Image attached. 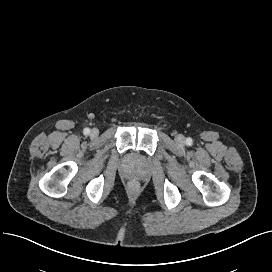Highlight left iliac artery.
<instances>
[{"label": "left iliac artery", "mask_w": 272, "mask_h": 272, "mask_svg": "<svg viewBox=\"0 0 272 272\" xmlns=\"http://www.w3.org/2000/svg\"><path fill=\"white\" fill-rule=\"evenodd\" d=\"M186 144H187L188 146H191V145L193 144V140H192L191 138H187V139H186Z\"/></svg>", "instance_id": "obj_1"}]
</instances>
